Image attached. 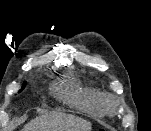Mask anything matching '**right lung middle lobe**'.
<instances>
[{
	"instance_id": "right-lung-middle-lobe-1",
	"label": "right lung middle lobe",
	"mask_w": 151,
	"mask_h": 131,
	"mask_svg": "<svg viewBox=\"0 0 151 131\" xmlns=\"http://www.w3.org/2000/svg\"><path fill=\"white\" fill-rule=\"evenodd\" d=\"M25 85H26V82H24L22 89L25 87ZM22 89H21L19 92H21V91H22Z\"/></svg>"
}]
</instances>
